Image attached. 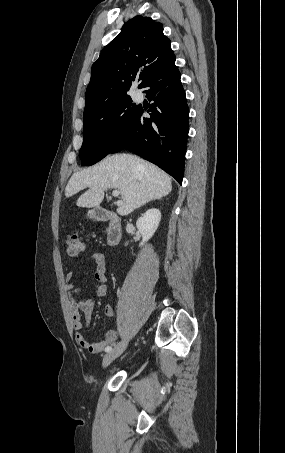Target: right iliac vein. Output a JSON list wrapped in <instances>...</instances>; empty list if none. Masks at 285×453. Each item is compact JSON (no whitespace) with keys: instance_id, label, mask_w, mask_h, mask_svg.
Listing matches in <instances>:
<instances>
[{"instance_id":"63e3f726","label":"right iliac vein","mask_w":285,"mask_h":453,"mask_svg":"<svg viewBox=\"0 0 285 453\" xmlns=\"http://www.w3.org/2000/svg\"><path fill=\"white\" fill-rule=\"evenodd\" d=\"M129 339L125 338L111 349L103 358L102 366L107 367L112 361L119 357L127 348Z\"/></svg>"}]
</instances>
